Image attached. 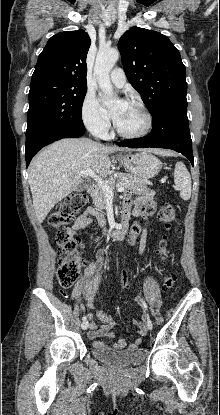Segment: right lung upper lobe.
<instances>
[{
  "mask_svg": "<svg viewBox=\"0 0 220 415\" xmlns=\"http://www.w3.org/2000/svg\"><path fill=\"white\" fill-rule=\"evenodd\" d=\"M90 44V37L83 30L52 36L38 57L31 81L54 79L87 85L86 57Z\"/></svg>",
  "mask_w": 220,
  "mask_h": 415,
  "instance_id": "1",
  "label": "right lung upper lobe"
}]
</instances>
